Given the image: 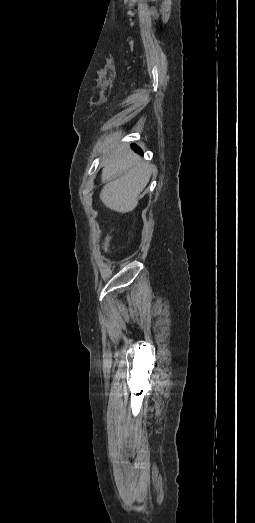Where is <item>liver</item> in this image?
<instances>
[{
	"label": "liver",
	"mask_w": 255,
	"mask_h": 523,
	"mask_svg": "<svg viewBox=\"0 0 255 523\" xmlns=\"http://www.w3.org/2000/svg\"><path fill=\"white\" fill-rule=\"evenodd\" d=\"M108 156L110 162L102 170V182L105 184L116 176L119 178L105 184L100 198L109 210L127 214L138 206L139 194L146 188L155 166L142 162L128 144L116 146Z\"/></svg>",
	"instance_id": "liver-1"
}]
</instances>
